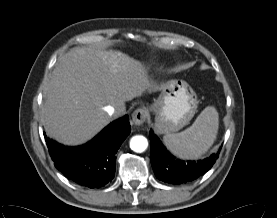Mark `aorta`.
Masks as SVG:
<instances>
[{
    "label": "aorta",
    "instance_id": "1",
    "mask_svg": "<svg viewBox=\"0 0 277 218\" xmlns=\"http://www.w3.org/2000/svg\"><path fill=\"white\" fill-rule=\"evenodd\" d=\"M148 147L147 139L142 135L133 136L130 139V148L136 153L144 152Z\"/></svg>",
    "mask_w": 277,
    "mask_h": 218
}]
</instances>
